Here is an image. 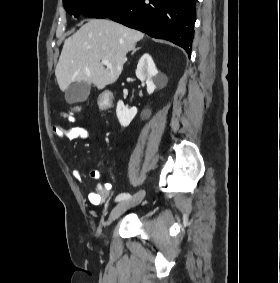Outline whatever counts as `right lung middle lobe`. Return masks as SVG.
Here are the masks:
<instances>
[{"instance_id":"dd1d6c3e","label":"right lung middle lobe","mask_w":280,"mask_h":283,"mask_svg":"<svg viewBox=\"0 0 280 283\" xmlns=\"http://www.w3.org/2000/svg\"><path fill=\"white\" fill-rule=\"evenodd\" d=\"M131 0H63L70 15L78 17L81 13L96 18H106L122 9Z\"/></svg>"}]
</instances>
